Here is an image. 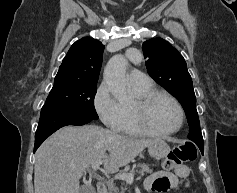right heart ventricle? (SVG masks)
Returning a JSON list of instances; mask_svg holds the SVG:
<instances>
[{
    "instance_id": "1",
    "label": "right heart ventricle",
    "mask_w": 237,
    "mask_h": 193,
    "mask_svg": "<svg viewBox=\"0 0 237 193\" xmlns=\"http://www.w3.org/2000/svg\"><path fill=\"white\" fill-rule=\"evenodd\" d=\"M132 88L138 98L143 97V96L154 91L152 85L148 86V87H134V86H132ZM123 113H124V121H123V125H122L120 132H122L124 134H129V135H143L144 133H142L134 125L133 117H132V107L123 106Z\"/></svg>"
}]
</instances>
